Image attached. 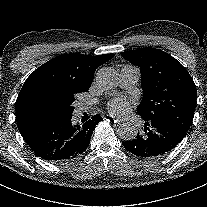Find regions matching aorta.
<instances>
[{"label": "aorta", "instance_id": "1", "mask_svg": "<svg viewBox=\"0 0 207 207\" xmlns=\"http://www.w3.org/2000/svg\"><path fill=\"white\" fill-rule=\"evenodd\" d=\"M96 82L105 91H113L119 83L117 72L108 67L100 68L96 73ZM138 130L132 123H123L118 128V134L124 141H131L137 136Z\"/></svg>", "mask_w": 207, "mask_h": 207}]
</instances>
